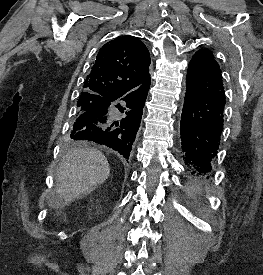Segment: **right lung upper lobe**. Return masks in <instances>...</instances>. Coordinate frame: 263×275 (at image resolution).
<instances>
[{"label": "right lung upper lobe", "mask_w": 263, "mask_h": 275, "mask_svg": "<svg viewBox=\"0 0 263 275\" xmlns=\"http://www.w3.org/2000/svg\"><path fill=\"white\" fill-rule=\"evenodd\" d=\"M150 62V53L140 40L117 37L98 52L81 95L93 94L107 100L135 94L150 80Z\"/></svg>", "instance_id": "right-lung-upper-lobe-1"}]
</instances>
